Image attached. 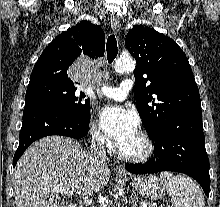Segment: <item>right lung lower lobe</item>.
Segmentation results:
<instances>
[{
	"mask_svg": "<svg viewBox=\"0 0 220 207\" xmlns=\"http://www.w3.org/2000/svg\"><path fill=\"white\" fill-rule=\"evenodd\" d=\"M89 122L90 115L76 116L41 103L25 105L19 146L13 159L14 166L26 148L37 139L49 135L81 139L88 133Z\"/></svg>",
	"mask_w": 220,
	"mask_h": 207,
	"instance_id": "obj_1",
	"label": "right lung lower lobe"
}]
</instances>
